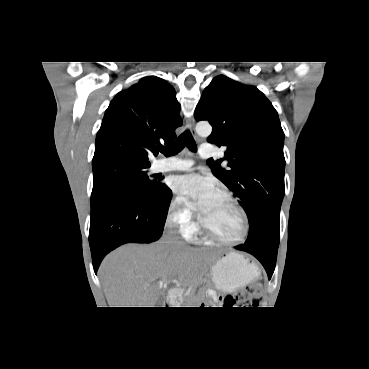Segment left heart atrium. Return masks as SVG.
<instances>
[{
    "mask_svg": "<svg viewBox=\"0 0 369 369\" xmlns=\"http://www.w3.org/2000/svg\"><path fill=\"white\" fill-rule=\"evenodd\" d=\"M173 189L189 206L200 212L217 193L210 179L195 173L176 177Z\"/></svg>",
    "mask_w": 369,
    "mask_h": 369,
    "instance_id": "39dd6f15",
    "label": "left heart atrium"
}]
</instances>
